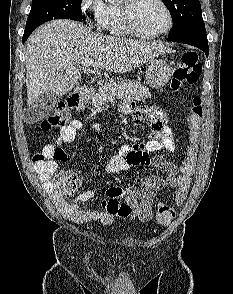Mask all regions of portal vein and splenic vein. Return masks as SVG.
<instances>
[{
	"instance_id": "1",
	"label": "portal vein and splenic vein",
	"mask_w": 233,
	"mask_h": 294,
	"mask_svg": "<svg viewBox=\"0 0 233 294\" xmlns=\"http://www.w3.org/2000/svg\"><path fill=\"white\" fill-rule=\"evenodd\" d=\"M94 64V61L92 59H83L82 62H81V65L83 67H89L91 65Z\"/></svg>"
}]
</instances>
